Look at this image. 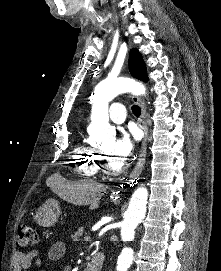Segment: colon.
<instances>
[{"mask_svg": "<svg viewBox=\"0 0 221 271\" xmlns=\"http://www.w3.org/2000/svg\"><path fill=\"white\" fill-rule=\"evenodd\" d=\"M38 242V236L31 224L21 223L18 227L16 246L17 249L23 250Z\"/></svg>", "mask_w": 221, "mask_h": 271, "instance_id": "5ec220e1", "label": "colon"}]
</instances>
